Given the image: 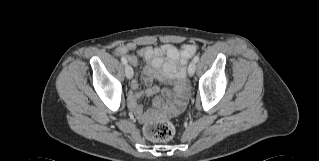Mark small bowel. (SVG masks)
<instances>
[{
	"label": "small bowel",
	"instance_id": "c3829d8e",
	"mask_svg": "<svg viewBox=\"0 0 319 161\" xmlns=\"http://www.w3.org/2000/svg\"><path fill=\"white\" fill-rule=\"evenodd\" d=\"M135 49L136 44L128 42L118 46L115 53L117 56L125 58L132 66H137V58L128 55ZM197 50L198 46L194 43L184 44L180 49L172 44H163L156 47L146 46L139 50V55L146 61L142 70L146 89L142 93L136 92L139 84L135 78L131 83V88L135 92L129 93L128 104L141 122L155 120L161 116L160 107L164 105L161 98L155 99V109L153 110H144L137 102L140 96H153L159 91V88L154 84L155 80L169 81L174 85L176 95L167 101V106L173 114L182 111L188 97L185 65L187 60L196 54Z\"/></svg>",
	"mask_w": 319,
	"mask_h": 161
}]
</instances>
